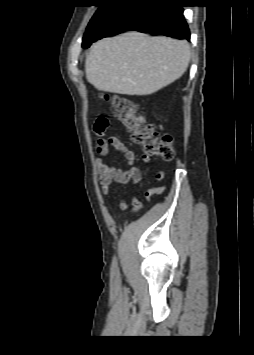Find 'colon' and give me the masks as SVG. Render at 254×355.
Returning <instances> with one entry per match:
<instances>
[{"label": "colon", "mask_w": 254, "mask_h": 355, "mask_svg": "<svg viewBox=\"0 0 254 355\" xmlns=\"http://www.w3.org/2000/svg\"><path fill=\"white\" fill-rule=\"evenodd\" d=\"M100 97L111 101L116 117L126 126L132 141L143 147L146 156L164 161L173 159L171 136L161 134L152 125H145L143 120L136 115L135 106L131 100L122 95L101 94ZM108 123V119L100 118L95 124V129L103 131Z\"/></svg>", "instance_id": "1"}]
</instances>
